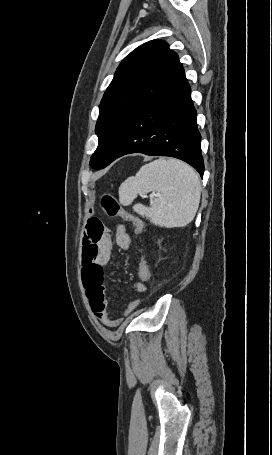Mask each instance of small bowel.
Instances as JSON below:
<instances>
[{"label":"small bowel","mask_w":272,"mask_h":455,"mask_svg":"<svg viewBox=\"0 0 272 455\" xmlns=\"http://www.w3.org/2000/svg\"><path fill=\"white\" fill-rule=\"evenodd\" d=\"M115 242L123 251H128L131 237L124 225H118L115 230ZM113 249V241L104 224L97 218L90 217L86 224L83 237L82 277L86 296L97 319L107 327L118 326L122 318H112L108 310L106 288L103 280V268L108 263ZM139 293L148 289V284L140 281L134 285ZM138 305V301H131L124 311V315L131 313Z\"/></svg>","instance_id":"small-bowel-1"}]
</instances>
